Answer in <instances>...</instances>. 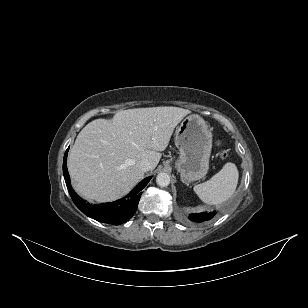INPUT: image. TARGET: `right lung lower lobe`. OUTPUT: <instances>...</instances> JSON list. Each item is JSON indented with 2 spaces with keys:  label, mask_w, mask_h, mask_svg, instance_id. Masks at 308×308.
<instances>
[{
  "label": "right lung lower lobe",
  "mask_w": 308,
  "mask_h": 308,
  "mask_svg": "<svg viewBox=\"0 0 308 308\" xmlns=\"http://www.w3.org/2000/svg\"><path fill=\"white\" fill-rule=\"evenodd\" d=\"M67 151L65 152L63 159V174L67 189L70 196L75 203V205L87 216L99 221L113 225H119L129 220L135 213L139 199L141 196V190L148 184L151 177H148L141 181L138 186L130 194V199H121L112 203H104L100 205H89L85 203L80 197L75 193L70 185V177L67 170Z\"/></svg>",
  "instance_id": "right-lung-lower-lobe-1"
}]
</instances>
